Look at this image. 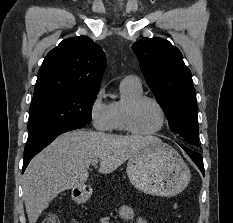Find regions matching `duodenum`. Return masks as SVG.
<instances>
[{
	"label": "duodenum",
	"instance_id": "duodenum-1",
	"mask_svg": "<svg viewBox=\"0 0 233 223\" xmlns=\"http://www.w3.org/2000/svg\"><path fill=\"white\" fill-rule=\"evenodd\" d=\"M90 193L87 190L80 189L75 192L74 199L79 203H84L89 199Z\"/></svg>",
	"mask_w": 233,
	"mask_h": 223
}]
</instances>
